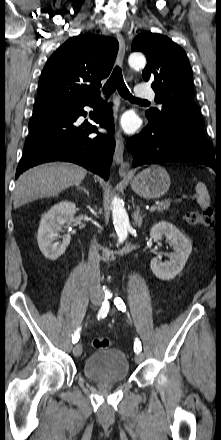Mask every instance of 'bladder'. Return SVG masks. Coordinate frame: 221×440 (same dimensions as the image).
I'll list each match as a JSON object with an SVG mask.
<instances>
[{"instance_id": "1", "label": "bladder", "mask_w": 221, "mask_h": 440, "mask_svg": "<svg viewBox=\"0 0 221 440\" xmlns=\"http://www.w3.org/2000/svg\"><path fill=\"white\" fill-rule=\"evenodd\" d=\"M129 361L119 349H103L90 355L83 365L86 378L95 382H122L129 376Z\"/></svg>"}]
</instances>
